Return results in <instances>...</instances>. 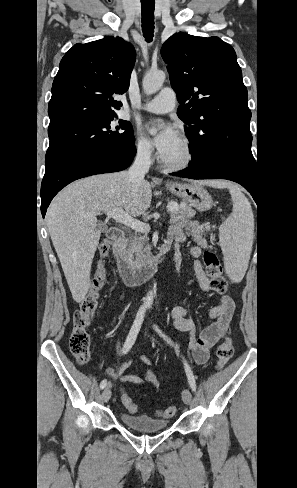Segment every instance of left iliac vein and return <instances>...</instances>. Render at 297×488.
Masks as SVG:
<instances>
[{"label":"left iliac vein","mask_w":297,"mask_h":488,"mask_svg":"<svg viewBox=\"0 0 297 488\" xmlns=\"http://www.w3.org/2000/svg\"><path fill=\"white\" fill-rule=\"evenodd\" d=\"M182 399H183V402L187 405L191 404V401H192V394L190 392V390L188 389H185L183 392H182Z\"/></svg>","instance_id":"4c4485c4"}]
</instances>
